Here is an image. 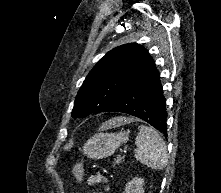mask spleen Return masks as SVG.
I'll return each mask as SVG.
<instances>
[{"mask_svg": "<svg viewBox=\"0 0 221 193\" xmlns=\"http://www.w3.org/2000/svg\"><path fill=\"white\" fill-rule=\"evenodd\" d=\"M138 129L139 133L135 139L136 159L154 170H163L168 159L166 145L162 137L152 127L141 125Z\"/></svg>", "mask_w": 221, "mask_h": 193, "instance_id": "spleen-1", "label": "spleen"}]
</instances>
